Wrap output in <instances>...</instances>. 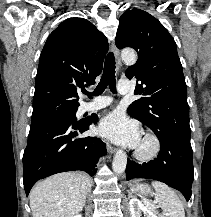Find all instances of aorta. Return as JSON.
Listing matches in <instances>:
<instances>
[{
	"label": "aorta",
	"mask_w": 211,
	"mask_h": 217,
	"mask_svg": "<svg viewBox=\"0 0 211 217\" xmlns=\"http://www.w3.org/2000/svg\"><path fill=\"white\" fill-rule=\"evenodd\" d=\"M122 60L127 64H134L136 62V54L133 50H123L121 52ZM127 164V155L122 150H118L114 156L112 168L117 174L125 171Z\"/></svg>",
	"instance_id": "762f6f07"
}]
</instances>
